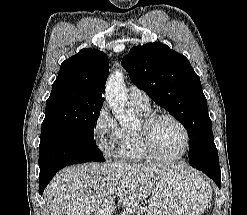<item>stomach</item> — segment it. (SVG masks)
<instances>
[{
	"instance_id": "0dacf381",
	"label": "stomach",
	"mask_w": 247,
	"mask_h": 215,
	"mask_svg": "<svg viewBox=\"0 0 247 215\" xmlns=\"http://www.w3.org/2000/svg\"><path fill=\"white\" fill-rule=\"evenodd\" d=\"M212 195L209 182L199 172L183 168L168 177L149 198L148 215H200Z\"/></svg>"
}]
</instances>
